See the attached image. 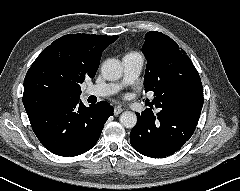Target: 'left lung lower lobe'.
Masks as SVG:
<instances>
[{
  "label": "left lung lower lobe",
  "mask_w": 240,
  "mask_h": 191,
  "mask_svg": "<svg viewBox=\"0 0 240 191\" xmlns=\"http://www.w3.org/2000/svg\"><path fill=\"white\" fill-rule=\"evenodd\" d=\"M202 90L193 89L170 106L154 114L147 108L137 113L138 123L130 133V143L139 153L164 158L178 151L194 133L203 106Z\"/></svg>",
  "instance_id": "0a47b994"
}]
</instances>
